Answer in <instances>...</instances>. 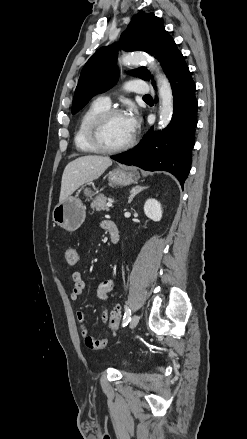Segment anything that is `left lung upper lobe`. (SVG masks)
Instances as JSON below:
<instances>
[{"instance_id": "1", "label": "left lung upper lobe", "mask_w": 247, "mask_h": 439, "mask_svg": "<svg viewBox=\"0 0 247 439\" xmlns=\"http://www.w3.org/2000/svg\"><path fill=\"white\" fill-rule=\"evenodd\" d=\"M120 48L126 51L141 50L155 56L167 77L183 59L163 22L154 13H141L132 19L120 38ZM117 51V44L100 48L84 65L74 94L73 114L82 109L94 95L108 90L116 82ZM131 74L144 80L151 79V74L144 67L133 70Z\"/></svg>"}]
</instances>
